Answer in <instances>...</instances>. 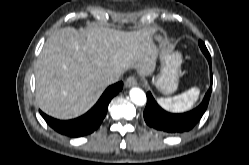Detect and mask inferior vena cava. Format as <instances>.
Returning <instances> with one entry per match:
<instances>
[{
    "instance_id": "obj_1",
    "label": "inferior vena cava",
    "mask_w": 249,
    "mask_h": 165,
    "mask_svg": "<svg viewBox=\"0 0 249 165\" xmlns=\"http://www.w3.org/2000/svg\"><path fill=\"white\" fill-rule=\"evenodd\" d=\"M121 73L108 74L103 78V83L108 86L119 81Z\"/></svg>"
}]
</instances>
